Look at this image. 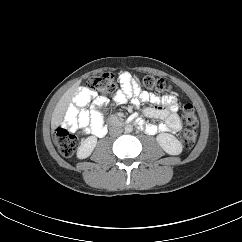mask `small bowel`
Segmentation results:
<instances>
[{"mask_svg":"<svg viewBox=\"0 0 242 242\" xmlns=\"http://www.w3.org/2000/svg\"><path fill=\"white\" fill-rule=\"evenodd\" d=\"M121 87L115 95L116 104L124 105L127 100L139 107L144 102H150L154 106L146 107L143 113L148 117L163 119L164 123L157 126L155 124H147L145 130L148 134H155L158 131L176 132L181 128V121L177 115L179 108L178 100L175 95L167 94L158 96L154 93L141 91L127 76L121 74L119 76ZM93 99L90 109H80L90 103ZM106 104V100L102 97L95 96L94 92L87 88L81 89L74 97V105H72L63 120L64 127L70 131H76L78 128L83 129L86 135L103 136V113L101 108ZM138 125L143 126L141 120L136 121Z\"/></svg>","mask_w":242,"mask_h":242,"instance_id":"c3829d8e","label":"small bowel"}]
</instances>
